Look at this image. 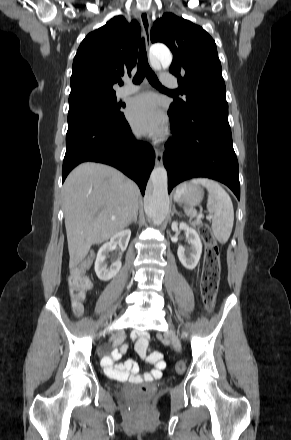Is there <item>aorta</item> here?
Wrapping results in <instances>:
<instances>
[{
	"label": "aorta",
	"mask_w": 291,
	"mask_h": 440,
	"mask_svg": "<svg viewBox=\"0 0 291 440\" xmlns=\"http://www.w3.org/2000/svg\"><path fill=\"white\" fill-rule=\"evenodd\" d=\"M151 54L161 63L164 69L172 62L169 49L161 44H155L150 49ZM168 177L164 167L153 169L144 198V209L154 225H160L169 210Z\"/></svg>",
	"instance_id": "762f6f07"
}]
</instances>
